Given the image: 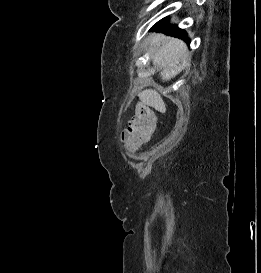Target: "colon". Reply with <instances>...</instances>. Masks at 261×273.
<instances>
[{"instance_id":"obj_1","label":"colon","mask_w":261,"mask_h":273,"mask_svg":"<svg viewBox=\"0 0 261 273\" xmlns=\"http://www.w3.org/2000/svg\"><path fill=\"white\" fill-rule=\"evenodd\" d=\"M156 116L144 104H137L135 115L122 134V140L132 149H136L149 141L156 127Z\"/></svg>"}]
</instances>
